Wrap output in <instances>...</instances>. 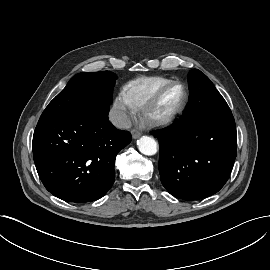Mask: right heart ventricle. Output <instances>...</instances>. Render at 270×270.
Listing matches in <instances>:
<instances>
[{"mask_svg":"<svg viewBox=\"0 0 270 270\" xmlns=\"http://www.w3.org/2000/svg\"><path fill=\"white\" fill-rule=\"evenodd\" d=\"M171 79L161 76L139 77L129 81L123 88V93L135 110L142 107L152 96Z\"/></svg>","mask_w":270,"mask_h":270,"instance_id":"right-heart-ventricle-1","label":"right heart ventricle"}]
</instances>
